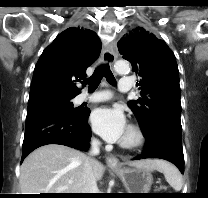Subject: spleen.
Masks as SVG:
<instances>
[{
	"label": "spleen",
	"mask_w": 208,
	"mask_h": 198,
	"mask_svg": "<svg viewBox=\"0 0 208 198\" xmlns=\"http://www.w3.org/2000/svg\"><path fill=\"white\" fill-rule=\"evenodd\" d=\"M160 170L163 172L166 181L175 191H180L182 189V176L175 166L168 162L161 161Z\"/></svg>",
	"instance_id": "3e777b00"
}]
</instances>
